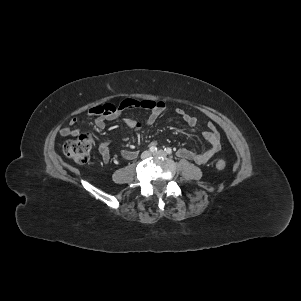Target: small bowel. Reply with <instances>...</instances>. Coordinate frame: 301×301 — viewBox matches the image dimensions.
Masks as SVG:
<instances>
[{"label": "small bowel", "mask_w": 301, "mask_h": 301, "mask_svg": "<svg viewBox=\"0 0 301 301\" xmlns=\"http://www.w3.org/2000/svg\"><path fill=\"white\" fill-rule=\"evenodd\" d=\"M104 105L93 107L89 110L90 116H95L94 124L99 130H103L106 127L107 121L118 120L122 113L127 110L144 109L148 111V116L143 121H136L134 119L126 118L124 123L135 130H139L144 126L152 125L156 122L159 116L165 110V104L162 101L143 100L137 101L134 99L123 100L113 111H103ZM176 113L183 118V120L189 125L191 131L196 130L197 120L194 116L186 113L183 109H177ZM79 123L77 118H73L69 126L63 127L59 134L63 137L77 136L80 130L76 127ZM203 138L210 144V147L202 152L192 151L187 148H180L177 150V155L181 158L191 160L197 164H205L213 156H215L221 149L220 135L212 123L208 124V129L202 132ZM154 145V143H152ZM99 153L104 163H109L110 156V143L107 140L102 141L98 147ZM137 152L135 150H123L122 156L126 159H132L136 157Z\"/></svg>", "instance_id": "obj_1"}]
</instances>
